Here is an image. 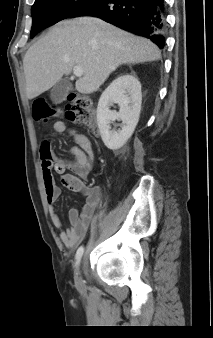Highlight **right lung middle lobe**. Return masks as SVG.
<instances>
[{"mask_svg": "<svg viewBox=\"0 0 213 338\" xmlns=\"http://www.w3.org/2000/svg\"><path fill=\"white\" fill-rule=\"evenodd\" d=\"M94 0H36L32 6L31 38L46 27L70 17Z\"/></svg>", "mask_w": 213, "mask_h": 338, "instance_id": "dd1d6c3e", "label": "right lung middle lobe"}]
</instances>
